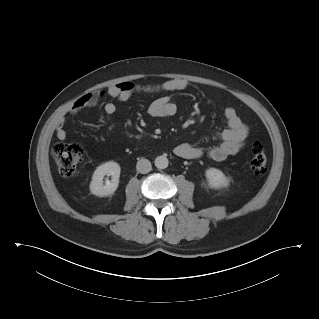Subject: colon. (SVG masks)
I'll return each mask as SVG.
<instances>
[{
    "instance_id": "colon-1",
    "label": "colon",
    "mask_w": 319,
    "mask_h": 319,
    "mask_svg": "<svg viewBox=\"0 0 319 319\" xmlns=\"http://www.w3.org/2000/svg\"><path fill=\"white\" fill-rule=\"evenodd\" d=\"M250 168L256 174L266 171L267 156L260 144H254L251 149ZM59 173L63 177H73L78 173L79 165L83 160V150L77 144L58 143L52 149Z\"/></svg>"
}]
</instances>
